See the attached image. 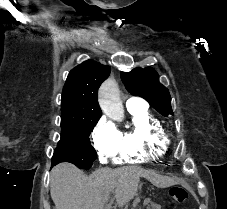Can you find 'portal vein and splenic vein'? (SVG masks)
<instances>
[{
  "instance_id": "portal-vein-and-splenic-vein-1",
  "label": "portal vein and splenic vein",
  "mask_w": 227,
  "mask_h": 209,
  "mask_svg": "<svg viewBox=\"0 0 227 209\" xmlns=\"http://www.w3.org/2000/svg\"><path fill=\"white\" fill-rule=\"evenodd\" d=\"M149 200L150 199L147 197L144 202L147 204L149 202Z\"/></svg>"
}]
</instances>
